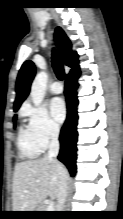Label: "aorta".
<instances>
[{"label": "aorta", "instance_id": "1", "mask_svg": "<svg viewBox=\"0 0 123 219\" xmlns=\"http://www.w3.org/2000/svg\"><path fill=\"white\" fill-rule=\"evenodd\" d=\"M47 81H48L47 73L41 71L35 76L32 82L30 96L35 106H39L43 102Z\"/></svg>", "mask_w": 123, "mask_h": 219}]
</instances>
